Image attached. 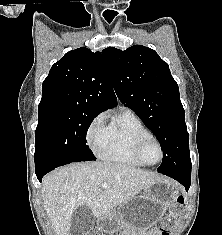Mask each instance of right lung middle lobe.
<instances>
[{"mask_svg": "<svg viewBox=\"0 0 222 235\" xmlns=\"http://www.w3.org/2000/svg\"><path fill=\"white\" fill-rule=\"evenodd\" d=\"M97 112L54 108L38 114L35 172L71 162L96 160L86 133Z\"/></svg>", "mask_w": 222, "mask_h": 235, "instance_id": "dd1d6c3e", "label": "right lung middle lobe"}]
</instances>
